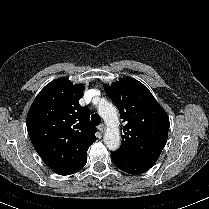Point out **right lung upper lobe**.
<instances>
[{"mask_svg": "<svg viewBox=\"0 0 209 209\" xmlns=\"http://www.w3.org/2000/svg\"><path fill=\"white\" fill-rule=\"evenodd\" d=\"M84 85L60 78L46 85L27 115L30 140L46 165L59 175L74 173L87 161V150L96 140L88 107L79 100Z\"/></svg>", "mask_w": 209, "mask_h": 209, "instance_id": "cb5924a9", "label": "right lung upper lobe"}]
</instances>
